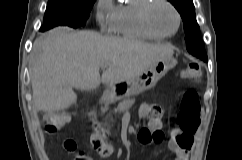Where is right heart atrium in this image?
I'll use <instances>...</instances> for the list:
<instances>
[{
    "instance_id": "1",
    "label": "right heart atrium",
    "mask_w": 242,
    "mask_h": 160,
    "mask_svg": "<svg viewBox=\"0 0 242 160\" xmlns=\"http://www.w3.org/2000/svg\"><path fill=\"white\" fill-rule=\"evenodd\" d=\"M116 6L113 0H97L95 6V16L101 28L112 31Z\"/></svg>"
}]
</instances>
